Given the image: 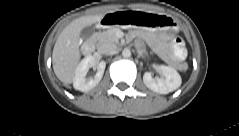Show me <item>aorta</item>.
<instances>
[{
    "label": "aorta",
    "instance_id": "aorta-1",
    "mask_svg": "<svg viewBox=\"0 0 239 136\" xmlns=\"http://www.w3.org/2000/svg\"><path fill=\"white\" fill-rule=\"evenodd\" d=\"M122 55H123V57H126V58L130 57V56H131V51H130V49L125 48V49L122 51Z\"/></svg>",
    "mask_w": 239,
    "mask_h": 136
}]
</instances>
